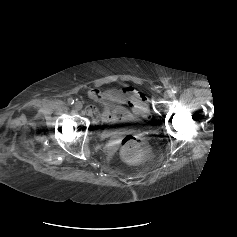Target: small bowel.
<instances>
[{
    "label": "small bowel",
    "mask_w": 237,
    "mask_h": 237,
    "mask_svg": "<svg viewBox=\"0 0 237 237\" xmlns=\"http://www.w3.org/2000/svg\"><path fill=\"white\" fill-rule=\"evenodd\" d=\"M88 96L101 104L103 108L102 114H99L93 106L87 109L96 125H113L119 121L131 119L132 113L126 105L131 107L134 114L146 115L148 113L146 97L131 86L106 91L93 88L88 91Z\"/></svg>",
    "instance_id": "small-bowel-1"
}]
</instances>
